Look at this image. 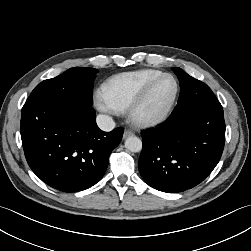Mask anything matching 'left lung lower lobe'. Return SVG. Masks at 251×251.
Here are the masks:
<instances>
[{"mask_svg":"<svg viewBox=\"0 0 251 251\" xmlns=\"http://www.w3.org/2000/svg\"><path fill=\"white\" fill-rule=\"evenodd\" d=\"M139 171L151 187L177 193L201 183L219 162L225 143L223 108L205 84L179 95L170 117L143 132Z\"/></svg>","mask_w":251,"mask_h":251,"instance_id":"left-lung-lower-lobe-1","label":"left lung lower lobe"}]
</instances>
